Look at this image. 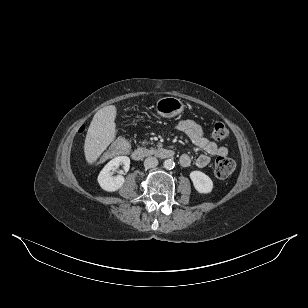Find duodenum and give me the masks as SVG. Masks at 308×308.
Returning <instances> with one entry per match:
<instances>
[{
    "instance_id": "obj_1",
    "label": "duodenum",
    "mask_w": 308,
    "mask_h": 308,
    "mask_svg": "<svg viewBox=\"0 0 308 308\" xmlns=\"http://www.w3.org/2000/svg\"><path fill=\"white\" fill-rule=\"evenodd\" d=\"M174 151L167 148H158V149H148V148H136L132 151L131 157L136 160L140 161L149 156H156L161 159H170L174 157Z\"/></svg>"
}]
</instances>
